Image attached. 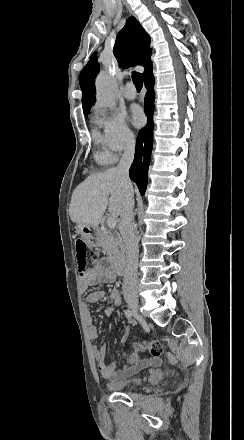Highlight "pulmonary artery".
<instances>
[{
	"label": "pulmonary artery",
	"mask_w": 244,
	"mask_h": 440,
	"mask_svg": "<svg viewBox=\"0 0 244 440\" xmlns=\"http://www.w3.org/2000/svg\"><path fill=\"white\" fill-rule=\"evenodd\" d=\"M124 88H125L124 97L126 99L132 100L136 97V88L134 83L127 82L125 83Z\"/></svg>",
	"instance_id": "e3ab8cb5"
}]
</instances>
